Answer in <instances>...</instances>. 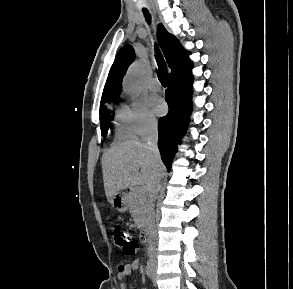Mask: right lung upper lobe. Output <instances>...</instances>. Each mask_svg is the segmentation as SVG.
<instances>
[{"label": "right lung upper lobe", "mask_w": 293, "mask_h": 289, "mask_svg": "<svg viewBox=\"0 0 293 289\" xmlns=\"http://www.w3.org/2000/svg\"><path fill=\"white\" fill-rule=\"evenodd\" d=\"M157 34L166 61L172 70L169 79L179 80L191 76L193 63L179 40L168 33L162 24L158 25ZM134 59L135 53L131 45H125L119 50L109 72L101 102L117 98L120 95L123 76Z\"/></svg>", "instance_id": "1"}]
</instances>
